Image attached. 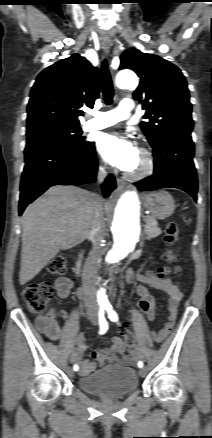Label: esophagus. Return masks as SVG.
<instances>
[{
  "instance_id": "1",
  "label": "esophagus",
  "mask_w": 212,
  "mask_h": 438,
  "mask_svg": "<svg viewBox=\"0 0 212 438\" xmlns=\"http://www.w3.org/2000/svg\"><path fill=\"white\" fill-rule=\"evenodd\" d=\"M110 47H111L110 42H103L102 43V48L106 54H108ZM116 181H117V185L120 189H123L125 187L126 183L123 179L117 178Z\"/></svg>"
}]
</instances>
